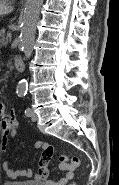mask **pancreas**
Segmentation results:
<instances>
[{"mask_svg": "<svg viewBox=\"0 0 119 185\" xmlns=\"http://www.w3.org/2000/svg\"><path fill=\"white\" fill-rule=\"evenodd\" d=\"M8 38L5 36L4 31H0V46H7Z\"/></svg>", "mask_w": 119, "mask_h": 185, "instance_id": "cf45deb5", "label": "pancreas"}]
</instances>
